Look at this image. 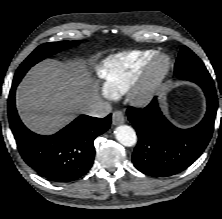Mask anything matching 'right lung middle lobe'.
Masks as SVG:
<instances>
[{
    "instance_id": "right-lung-middle-lobe-1",
    "label": "right lung middle lobe",
    "mask_w": 222,
    "mask_h": 219,
    "mask_svg": "<svg viewBox=\"0 0 222 219\" xmlns=\"http://www.w3.org/2000/svg\"><path fill=\"white\" fill-rule=\"evenodd\" d=\"M77 41H60V42H52L45 43L37 47L27 58L26 60L19 66L14 76V82L19 83L25 73L44 58L53 55L57 52L65 50L69 48L71 45H77Z\"/></svg>"
}]
</instances>
